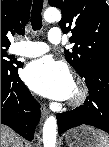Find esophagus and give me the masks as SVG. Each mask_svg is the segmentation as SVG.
<instances>
[{
  "instance_id": "1",
  "label": "esophagus",
  "mask_w": 109,
  "mask_h": 147,
  "mask_svg": "<svg viewBox=\"0 0 109 147\" xmlns=\"http://www.w3.org/2000/svg\"><path fill=\"white\" fill-rule=\"evenodd\" d=\"M47 1H44V4H46ZM48 109L46 108V106L41 105V116L42 118H46L48 116Z\"/></svg>"
}]
</instances>
